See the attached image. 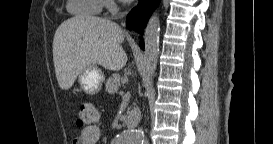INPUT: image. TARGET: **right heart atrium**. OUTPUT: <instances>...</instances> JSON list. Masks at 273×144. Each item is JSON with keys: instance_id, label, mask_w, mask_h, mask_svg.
Returning a JSON list of instances; mask_svg holds the SVG:
<instances>
[{"instance_id": "1", "label": "right heart atrium", "mask_w": 273, "mask_h": 144, "mask_svg": "<svg viewBox=\"0 0 273 144\" xmlns=\"http://www.w3.org/2000/svg\"><path fill=\"white\" fill-rule=\"evenodd\" d=\"M104 7L110 12L115 14L118 10L116 3L113 0H103Z\"/></svg>"}]
</instances>
